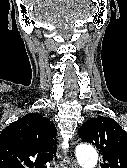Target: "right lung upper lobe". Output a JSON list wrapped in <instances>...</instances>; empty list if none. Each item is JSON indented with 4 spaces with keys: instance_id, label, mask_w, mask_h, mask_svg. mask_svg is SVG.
Here are the masks:
<instances>
[{
    "instance_id": "right-lung-upper-lobe-1",
    "label": "right lung upper lobe",
    "mask_w": 127,
    "mask_h": 168,
    "mask_svg": "<svg viewBox=\"0 0 127 168\" xmlns=\"http://www.w3.org/2000/svg\"><path fill=\"white\" fill-rule=\"evenodd\" d=\"M56 134L54 123L38 113L10 124L0 133V168H47L56 155Z\"/></svg>"
}]
</instances>
